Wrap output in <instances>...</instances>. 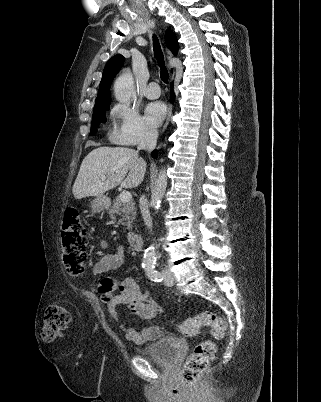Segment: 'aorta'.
Returning a JSON list of instances; mask_svg holds the SVG:
<instances>
[{"mask_svg":"<svg viewBox=\"0 0 321 402\" xmlns=\"http://www.w3.org/2000/svg\"><path fill=\"white\" fill-rule=\"evenodd\" d=\"M114 94L118 101L126 102L135 95L134 80L131 72L128 70L121 74L115 81ZM167 186V176L165 169L160 170L158 179L156 181L154 190L151 195V205L155 210H159L161 206V200L164 196ZM156 261V247L154 245L149 246L144 253L143 267L146 270H153Z\"/></svg>","mask_w":321,"mask_h":402,"instance_id":"aorta-1","label":"aorta"}]
</instances>
